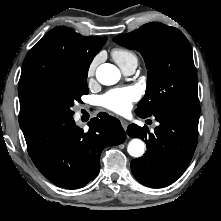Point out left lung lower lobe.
Wrapping results in <instances>:
<instances>
[{
	"instance_id": "0a47b994",
	"label": "left lung lower lobe",
	"mask_w": 221,
	"mask_h": 221,
	"mask_svg": "<svg viewBox=\"0 0 221 221\" xmlns=\"http://www.w3.org/2000/svg\"><path fill=\"white\" fill-rule=\"evenodd\" d=\"M159 126L150 133L146 126H128L127 134L147 144L146 153L131 161L134 177L151 188L165 187L176 181L187 169L198 140L199 116L187 115L167 109L155 108Z\"/></svg>"
}]
</instances>
